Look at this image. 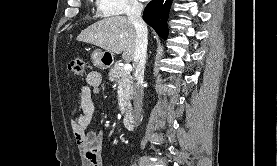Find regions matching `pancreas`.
Returning <instances> with one entry per match:
<instances>
[{
	"label": "pancreas",
	"mask_w": 277,
	"mask_h": 166,
	"mask_svg": "<svg viewBox=\"0 0 277 166\" xmlns=\"http://www.w3.org/2000/svg\"><path fill=\"white\" fill-rule=\"evenodd\" d=\"M109 79L123 87L124 93L122 95L123 104L121 106V111L124 113L130 112L133 84L130 71H125L124 67L116 63L109 71Z\"/></svg>",
	"instance_id": "obj_1"
}]
</instances>
